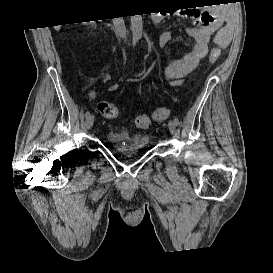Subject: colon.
<instances>
[{
  "label": "colon",
  "mask_w": 273,
  "mask_h": 273,
  "mask_svg": "<svg viewBox=\"0 0 273 273\" xmlns=\"http://www.w3.org/2000/svg\"><path fill=\"white\" fill-rule=\"evenodd\" d=\"M220 58V52L213 49L210 54V62L215 64ZM98 110L105 118H116L119 114L118 107L111 102H101L98 104ZM170 117V110L168 108H158L153 113L155 120H166ZM136 126L140 128H147L151 124V118L148 115H140L135 119Z\"/></svg>",
  "instance_id": "5ec220e1"
}]
</instances>
